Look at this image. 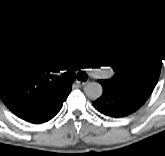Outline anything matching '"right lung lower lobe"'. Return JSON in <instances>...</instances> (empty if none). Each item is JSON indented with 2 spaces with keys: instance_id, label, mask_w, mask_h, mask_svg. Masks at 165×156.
Segmentation results:
<instances>
[{
  "instance_id": "1",
  "label": "right lung lower lobe",
  "mask_w": 165,
  "mask_h": 156,
  "mask_svg": "<svg viewBox=\"0 0 165 156\" xmlns=\"http://www.w3.org/2000/svg\"><path fill=\"white\" fill-rule=\"evenodd\" d=\"M68 86V89H66V91H64V93L52 105L37 114L25 118L24 120L34 124H40L52 119L60 111L63 102L71 92L72 85L68 84Z\"/></svg>"
}]
</instances>
